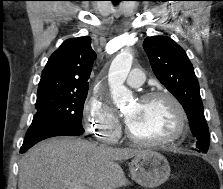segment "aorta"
I'll list each match as a JSON object with an SVG mask.
<instances>
[{
    "mask_svg": "<svg viewBox=\"0 0 223 189\" xmlns=\"http://www.w3.org/2000/svg\"><path fill=\"white\" fill-rule=\"evenodd\" d=\"M132 62L133 55L130 50L126 49L114 58L109 69L108 83L113 103L121 110L128 107L132 102L131 92L124 86Z\"/></svg>",
    "mask_w": 223,
    "mask_h": 189,
    "instance_id": "762f6f07",
    "label": "aorta"
}]
</instances>
